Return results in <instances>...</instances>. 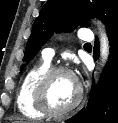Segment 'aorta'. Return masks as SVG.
<instances>
[{"instance_id": "obj_1", "label": "aorta", "mask_w": 118, "mask_h": 123, "mask_svg": "<svg viewBox=\"0 0 118 123\" xmlns=\"http://www.w3.org/2000/svg\"><path fill=\"white\" fill-rule=\"evenodd\" d=\"M100 52H101L102 62L105 63L109 55V40L106 33L103 31H101V37H100Z\"/></svg>"}]
</instances>
